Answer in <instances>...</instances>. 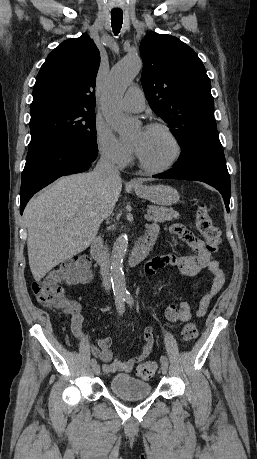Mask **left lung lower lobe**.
Instances as JSON below:
<instances>
[{"mask_svg": "<svg viewBox=\"0 0 257 459\" xmlns=\"http://www.w3.org/2000/svg\"><path fill=\"white\" fill-rule=\"evenodd\" d=\"M153 177L205 182L222 194L229 212L230 177L217 128L200 132L193 142L189 156L180 157L174 168Z\"/></svg>", "mask_w": 257, "mask_h": 459, "instance_id": "obj_1", "label": "left lung lower lobe"}]
</instances>
